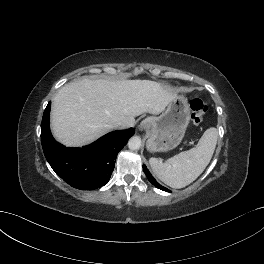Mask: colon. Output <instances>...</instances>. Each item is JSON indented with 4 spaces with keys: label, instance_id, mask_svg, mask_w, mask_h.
Returning a JSON list of instances; mask_svg holds the SVG:
<instances>
[{
    "label": "colon",
    "instance_id": "1",
    "mask_svg": "<svg viewBox=\"0 0 264 264\" xmlns=\"http://www.w3.org/2000/svg\"><path fill=\"white\" fill-rule=\"evenodd\" d=\"M191 123L198 125L201 123L203 115L207 111V105L199 98H194L190 101Z\"/></svg>",
    "mask_w": 264,
    "mask_h": 264
}]
</instances>
